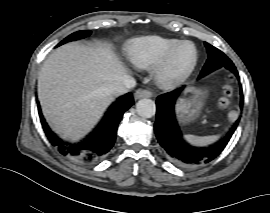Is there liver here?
<instances>
[{"label":"liver","instance_id":"obj_1","mask_svg":"<svg viewBox=\"0 0 270 213\" xmlns=\"http://www.w3.org/2000/svg\"><path fill=\"white\" fill-rule=\"evenodd\" d=\"M127 74L108 45L59 47L38 75V98L46 120L64 138L83 137L114 99L113 85Z\"/></svg>","mask_w":270,"mask_h":213}]
</instances>
